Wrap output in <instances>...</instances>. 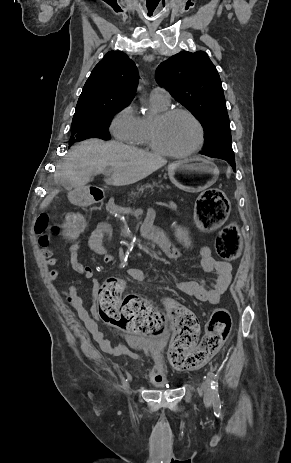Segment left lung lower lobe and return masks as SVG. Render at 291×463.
I'll list each match as a JSON object with an SVG mask.
<instances>
[{"label":"left lung lower lobe","mask_w":291,"mask_h":463,"mask_svg":"<svg viewBox=\"0 0 291 463\" xmlns=\"http://www.w3.org/2000/svg\"><path fill=\"white\" fill-rule=\"evenodd\" d=\"M218 158L226 160L232 166L233 170L234 171L236 170L235 158H227V157H218Z\"/></svg>","instance_id":"obj_1"}]
</instances>
